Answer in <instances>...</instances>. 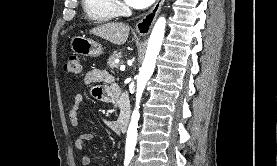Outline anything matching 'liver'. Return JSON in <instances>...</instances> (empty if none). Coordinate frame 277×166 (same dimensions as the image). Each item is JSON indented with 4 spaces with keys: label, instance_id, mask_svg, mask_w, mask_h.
Segmentation results:
<instances>
[{
    "label": "liver",
    "instance_id": "obj_1",
    "mask_svg": "<svg viewBox=\"0 0 277 166\" xmlns=\"http://www.w3.org/2000/svg\"><path fill=\"white\" fill-rule=\"evenodd\" d=\"M130 27L123 23H106L90 30V33L115 45H123L129 36Z\"/></svg>",
    "mask_w": 277,
    "mask_h": 166
}]
</instances>
